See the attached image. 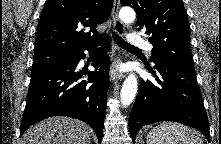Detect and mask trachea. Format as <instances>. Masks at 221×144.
<instances>
[{"label":"trachea","mask_w":221,"mask_h":144,"mask_svg":"<svg viewBox=\"0 0 221 144\" xmlns=\"http://www.w3.org/2000/svg\"><path fill=\"white\" fill-rule=\"evenodd\" d=\"M112 37L114 39V41L122 48L124 49H131V50H140L137 47H134L132 45H130L129 43H127L122 37H120L117 33L113 32L112 33Z\"/></svg>","instance_id":"obj_1"}]
</instances>
